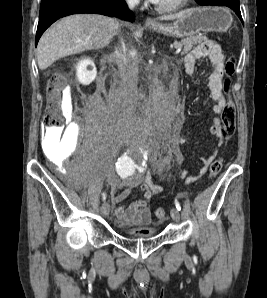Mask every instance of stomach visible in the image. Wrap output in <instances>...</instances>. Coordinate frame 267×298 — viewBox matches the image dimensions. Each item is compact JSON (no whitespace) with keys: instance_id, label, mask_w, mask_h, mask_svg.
<instances>
[{"instance_id":"obj_1","label":"stomach","mask_w":267,"mask_h":298,"mask_svg":"<svg viewBox=\"0 0 267 298\" xmlns=\"http://www.w3.org/2000/svg\"><path fill=\"white\" fill-rule=\"evenodd\" d=\"M183 15L171 24L156 25L153 31L183 38L203 32H226L233 21L230 11L224 7H199L183 11Z\"/></svg>"}]
</instances>
